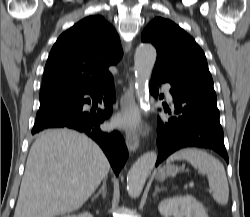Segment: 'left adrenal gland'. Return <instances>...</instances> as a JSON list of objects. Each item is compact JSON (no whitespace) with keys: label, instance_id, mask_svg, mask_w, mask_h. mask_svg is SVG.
<instances>
[{"label":"left adrenal gland","instance_id":"obj_1","mask_svg":"<svg viewBox=\"0 0 250 217\" xmlns=\"http://www.w3.org/2000/svg\"><path fill=\"white\" fill-rule=\"evenodd\" d=\"M165 189H166L165 187L159 188V186H156V187H155V192H154L153 196L155 197V196L157 195L158 192L163 191V190H165Z\"/></svg>","mask_w":250,"mask_h":217}]
</instances>
